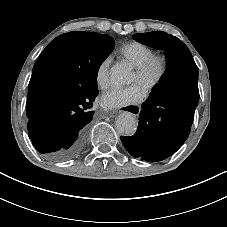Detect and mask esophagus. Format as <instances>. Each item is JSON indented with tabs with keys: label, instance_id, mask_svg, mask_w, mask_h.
<instances>
[{
	"label": "esophagus",
	"instance_id": "obj_1",
	"mask_svg": "<svg viewBox=\"0 0 227 227\" xmlns=\"http://www.w3.org/2000/svg\"><path fill=\"white\" fill-rule=\"evenodd\" d=\"M118 110L122 114L123 113H125V114L129 113V114H133V115L137 116L141 111V107L139 105L132 106V105H129V104H124V106L123 105L120 106Z\"/></svg>",
	"mask_w": 227,
	"mask_h": 227
}]
</instances>
